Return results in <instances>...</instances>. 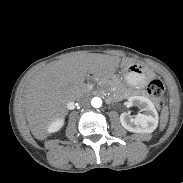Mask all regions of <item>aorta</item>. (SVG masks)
I'll use <instances>...</instances> for the list:
<instances>
[{
  "mask_svg": "<svg viewBox=\"0 0 183 183\" xmlns=\"http://www.w3.org/2000/svg\"><path fill=\"white\" fill-rule=\"evenodd\" d=\"M91 105H92L94 108H99V107H101V105H102V100H101V98H99V97H94V98H92V100H91Z\"/></svg>",
  "mask_w": 183,
  "mask_h": 183,
  "instance_id": "1",
  "label": "aorta"
}]
</instances>
